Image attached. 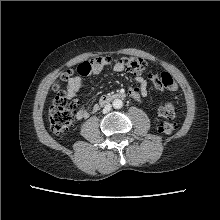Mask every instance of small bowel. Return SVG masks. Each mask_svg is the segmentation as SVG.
I'll use <instances>...</instances> for the list:
<instances>
[{"label": "small bowel", "mask_w": 220, "mask_h": 220, "mask_svg": "<svg viewBox=\"0 0 220 220\" xmlns=\"http://www.w3.org/2000/svg\"><path fill=\"white\" fill-rule=\"evenodd\" d=\"M95 59L81 63L77 68L78 75L70 79L69 90L72 97H75L80 92L84 77L99 74L105 66H108L112 63L111 59V61H104L101 64H98L95 62ZM84 65H87L91 68L90 74L84 73ZM124 69L125 65L122 60L117 61L113 66V70L118 73L124 71ZM136 81L139 84V88H128V95L135 102H140L141 98L147 95L148 85L147 81L142 76H137ZM98 109L97 103L92 104L89 108H80L77 112V117L79 119H86L91 113L98 111Z\"/></svg>", "instance_id": "small-bowel-1"}]
</instances>
